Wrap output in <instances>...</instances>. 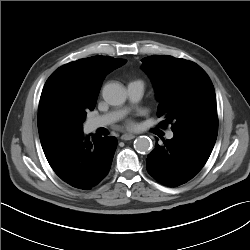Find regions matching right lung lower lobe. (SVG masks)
<instances>
[{"label":"right lung lower lobe","instance_id":"98d812e1","mask_svg":"<svg viewBox=\"0 0 250 250\" xmlns=\"http://www.w3.org/2000/svg\"><path fill=\"white\" fill-rule=\"evenodd\" d=\"M117 146L116 137L94 135L83 131L65 137L43 149L57 176L70 186L89 190L108 174Z\"/></svg>","mask_w":250,"mask_h":250}]
</instances>
